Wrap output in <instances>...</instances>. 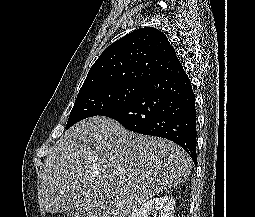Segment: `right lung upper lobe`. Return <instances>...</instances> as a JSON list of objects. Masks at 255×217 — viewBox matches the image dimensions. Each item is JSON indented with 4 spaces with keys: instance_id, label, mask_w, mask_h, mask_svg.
I'll return each mask as SVG.
<instances>
[{
    "instance_id": "obj_1",
    "label": "right lung upper lobe",
    "mask_w": 255,
    "mask_h": 217,
    "mask_svg": "<svg viewBox=\"0 0 255 217\" xmlns=\"http://www.w3.org/2000/svg\"><path fill=\"white\" fill-rule=\"evenodd\" d=\"M182 68L166 35L137 29L111 44L90 68L81 91L102 85L143 84Z\"/></svg>"
}]
</instances>
